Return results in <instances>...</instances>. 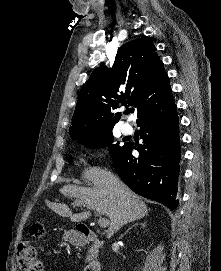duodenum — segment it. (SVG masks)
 Segmentation results:
<instances>
[{
    "label": "duodenum",
    "mask_w": 221,
    "mask_h": 271,
    "mask_svg": "<svg viewBox=\"0 0 221 271\" xmlns=\"http://www.w3.org/2000/svg\"><path fill=\"white\" fill-rule=\"evenodd\" d=\"M70 242L76 246L91 244L95 251L99 250L103 244L102 241L98 238V236L92 230L88 229L78 230L75 234L71 236ZM101 270V263L96 259L91 260L84 269V271Z\"/></svg>",
    "instance_id": "410a0bca"
}]
</instances>
